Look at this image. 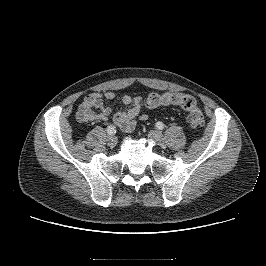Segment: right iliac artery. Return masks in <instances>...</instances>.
I'll list each match as a JSON object with an SVG mask.
<instances>
[{
    "instance_id": "right-iliac-artery-1",
    "label": "right iliac artery",
    "mask_w": 266,
    "mask_h": 266,
    "mask_svg": "<svg viewBox=\"0 0 266 266\" xmlns=\"http://www.w3.org/2000/svg\"><path fill=\"white\" fill-rule=\"evenodd\" d=\"M107 133H108L109 135H113V134H115V133H116V127H115L114 125H109V126L107 127Z\"/></svg>"
}]
</instances>
